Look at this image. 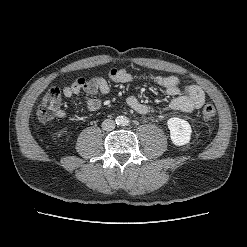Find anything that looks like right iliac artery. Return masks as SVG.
Segmentation results:
<instances>
[{
    "mask_svg": "<svg viewBox=\"0 0 247 247\" xmlns=\"http://www.w3.org/2000/svg\"><path fill=\"white\" fill-rule=\"evenodd\" d=\"M121 122H122V120H121V119H119V118H118V119H116V123H117V124H120Z\"/></svg>",
    "mask_w": 247,
    "mask_h": 247,
    "instance_id": "82829eb1",
    "label": "right iliac artery"
}]
</instances>
